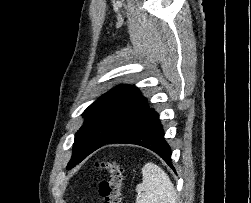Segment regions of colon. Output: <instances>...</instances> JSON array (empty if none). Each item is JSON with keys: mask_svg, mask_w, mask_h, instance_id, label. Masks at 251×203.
<instances>
[{"mask_svg": "<svg viewBox=\"0 0 251 203\" xmlns=\"http://www.w3.org/2000/svg\"><path fill=\"white\" fill-rule=\"evenodd\" d=\"M95 167L107 172L108 178L99 182L98 191L103 203H121L123 167L114 161H99Z\"/></svg>", "mask_w": 251, "mask_h": 203, "instance_id": "colon-1", "label": "colon"}]
</instances>
